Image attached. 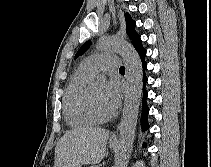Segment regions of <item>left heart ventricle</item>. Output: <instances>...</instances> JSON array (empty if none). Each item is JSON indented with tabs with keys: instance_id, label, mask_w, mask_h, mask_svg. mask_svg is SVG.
<instances>
[{
	"instance_id": "obj_1",
	"label": "left heart ventricle",
	"mask_w": 211,
	"mask_h": 167,
	"mask_svg": "<svg viewBox=\"0 0 211 167\" xmlns=\"http://www.w3.org/2000/svg\"><path fill=\"white\" fill-rule=\"evenodd\" d=\"M90 92H91L93 104H94L96 111L100 115H103V116L110 115V113L108 112V110L104 104V100H103V92H104L103 86L92 87L90 89Z\"/></svg>"
}]
</instances>
